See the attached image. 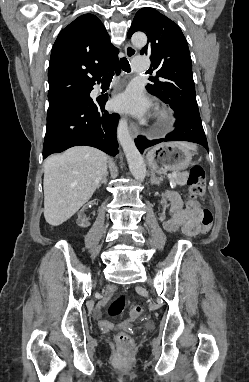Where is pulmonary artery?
I'll return each mask as SVG.
<instances>
[{
  "instance_id": "pulmonary-artery-1",
  "label": "pulmonary artery",
  "mask_w": 249,
  "mask_h": 382,
  "mask_svg": "<svg viewBox=\"0 0 249 382\" xmlns=\"http://www.w3.org/2000/svg\"><path fill=\"white\" fill-rule=\"evenodd\" d=\"M132 67L137 71H145L149 68V62L146 57H137L132 60Z\"/></svg>"
}]
</instances>
